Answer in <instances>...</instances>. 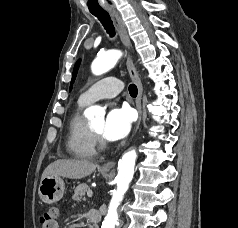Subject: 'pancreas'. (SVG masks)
Masks as SVG:
<instances>
[{
	"instance_id": "obj_1",
	"label": "pancreas",
	"mask_w": 238,
	"mask_h": 228,
	"mask_svg": "<svg viewBox=\"0 0 238 228\" xmlns=\"http://www.w3.org/2000/svg\"><path fill=\"white\" fill-rule=\"evenodd\" d=\"M90 188L87 184L83 183L78 185L74 190V195L72 199L74 201H80L86 192H89Z\"/></svg>"
}]
</instances>
